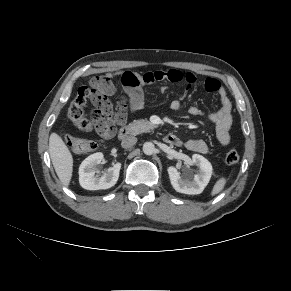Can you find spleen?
I'll list each match as a JSON object with an SVG mask.
<instances>
[{
	"label": "spleen",
	"mask_w": 291,
	"mask_h": 291,
	"mask_svg": "<svg viewBox=\"0 0 291 291\" xmlns=\"http://www.w3.org/2000/svg\"><path fill=\"white\" fill-rule=\"evenodd\" d=\"M226 182L227 180L224 177H221L220 179H218L215 185L213 186L211 195L214 196L220 193L224 189Z\"/></svg>",
	"instance_id": "3e777b00"
}]
</instances>
